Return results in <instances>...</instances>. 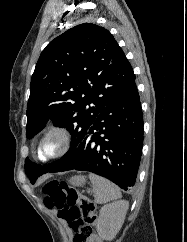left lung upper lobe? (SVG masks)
I'll return each mask as SVG.
<instances>
[{"mask_svg":"<svg viewBox=\"0 0 187 242\" xmlns=\"http://www.w3.org/2000/svg\"><path fill=\"white\" fill-rule=\"evenodd\" d=\"M124 52L105 28L84 23L64 32L42 51L31 78L27 138L50 120L71 134V147L58 161L25 160L30 181L63 162L80 144L101 110L134 79Z\"/></svg>","mask_w":187,"mask_h":242,"instance_id":"left-lung-upper-lobe-1","label":"left lung upper lobe"}]
</instances>
